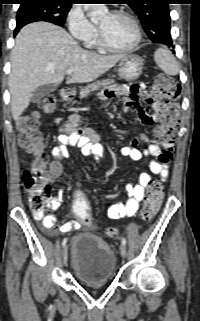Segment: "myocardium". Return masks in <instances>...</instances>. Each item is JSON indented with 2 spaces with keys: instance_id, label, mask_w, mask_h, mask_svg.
Masks as SVG:
<instances>
[{
  "instance_id": "myocardium-1",
  "label": "myocardium",
  "mask_w": 200,
  "mask_h": 321,
  "mask_svg": "<svg viewBox=\"0 0 200 321\" xmlns=\"http://www.w3.org/2000/svg\"><path fill=\"white\" fill-rule=\"evenodd\" d=\"M110 15L121 16V17H125V18L129 19L133 23L134 28H135V39L127 47H122V48L114 47L107 42V40L105 39L100 28H98L97 41H98L99 46L102 47L104 50L109 51V52H113V53H127V52L134 50L142 40V30H141V26H140L138 19L134 15H132L131 13H129L125 10H115V11H112L110 13Z\"/></svg>"
}]
</instances>
